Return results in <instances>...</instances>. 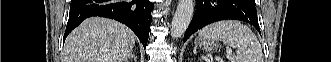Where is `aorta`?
I'll list each match as a JSON object with an SVG mask.
<instances>
[{
  "label": "aorta",
  "instance_id": "1",
  "mask_svg": "<svg viewBox=\"0 0 331 62\" xmlns=\"http://www.w3.org/2000/svg\"><path fill=\"white\" fill-rule=\"evenodd\" d=\"M194 13L193 0H180L171 23V37L180 38L187 30Z\"/></svg>",
  "mask_w": 331,
  "mask_h": 62
}]
</instances>
